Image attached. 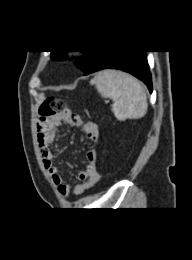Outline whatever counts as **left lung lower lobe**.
I'll return each instance as SVG.
<instances>
[{
  "instance_id": "1",
  "label": "left lung lower lobe",
  "mask_w": 192,
  "mask_h": 260,
  "mask_svg": "<svg viewBox=\"0 0 192 260\" xmlns=\"http://www.w3.org/2000/svg\"><path fill=\"white\" fill-rule=\"evenodd\" d=\"M119 69L142 80L152 91V82L146 51L100 50L93 57L84 75L102 70Z\"/></svg>"
}]
</instances>
